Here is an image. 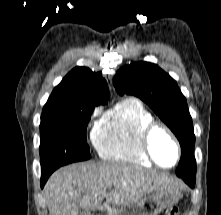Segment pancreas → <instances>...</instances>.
Masks as SVG:
<instances>
[{"mask_svg": "<svg viewBox=\"0 0 221 215\" xmlns=\"http://www.w3.org/2000/svg\"><path fill=\"white\" fill-rule=\"evenodd\" d=\"M113 215H117V214H116V211H114Z\"/></svg>", "mask_w": 221, "mask_h": 215, "instance_id": "1", "label": "pancreas"}]
</instances>
